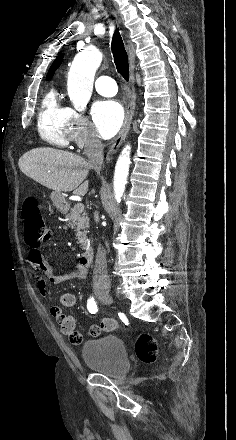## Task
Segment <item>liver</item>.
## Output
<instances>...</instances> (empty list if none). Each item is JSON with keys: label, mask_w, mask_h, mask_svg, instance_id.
Returning a JSON list of instances; mask_svg holds the SVG:
<instances>
[{"label": "liver", "mask_w": 236, "mask_h": 440, "mask_svg": "<svg viewBox=\"0 0 236 440\" xmlns=\"http://www.w3.org/2000/svg\"><path fill=\"white\" fill-rule=\"evenodd\" d=\"M20 170L41 185L60 192L84 196L90 166L81 156L50 147L31 149L18 162Z\"/></svg>", "instance_id": "obj_1"}]
</instances>
